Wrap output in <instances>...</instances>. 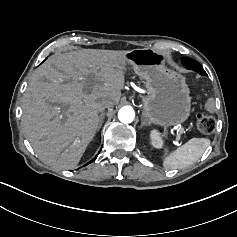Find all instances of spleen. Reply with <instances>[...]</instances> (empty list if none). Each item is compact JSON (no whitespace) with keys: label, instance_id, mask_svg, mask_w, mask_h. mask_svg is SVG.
Wrapping results in <instances>:
<instances>
[{"label":"spleen","instance_id":"1","mask_svg":"<svg viewBox=\"0 0 237 237\" xmlns=\"http://www.w3.org/2000/svg\"><path fill=\"white\" fill-rule=\"evenodd\" d=\"M210 145L206 138H192L164 159L165 169H183L197 162Z\"/></svg>","mask_w":237,"mask_h":237}]
</instances>
